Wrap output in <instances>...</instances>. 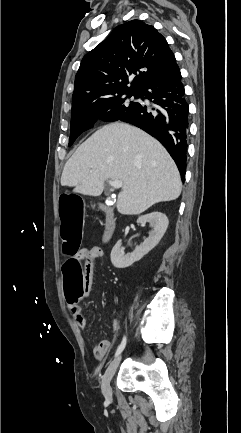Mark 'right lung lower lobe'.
Masks as SVG:
<instances>
[{
    "mask_svg": "<svg viewBox=\"0 0 241 433\" xmlns=\"http://www.w3.org/2000/svg\"><path fill=\"white\" fill-rule=\"evenodd\" d=\"M142 99L154 107L138 103L136 108L120 120L131 123L160 141L174 159L182 179L186 172L189 106L175 63L166 73L152 79L139 91Z\"/></svg>",
    "mask_w": 241,
    "mask_h": 433,
    "instance_id": "98d812e1",
    "label": "right lung lower lobe"
}]
</instances>
